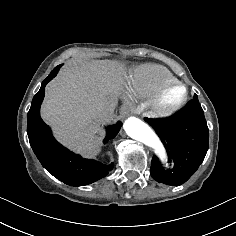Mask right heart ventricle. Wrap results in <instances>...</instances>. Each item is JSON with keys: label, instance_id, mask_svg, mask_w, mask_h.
I'll return each instance as SVG.
<instances>
[{"label": "right heart ventricle", "instance_id": "right-heart-ventricle-1", "mask_svg": "<svg viewBox=\"0 0 236 236\" xmlns=\"http://www.w3.org/2000/svg\"><path fill=\"white\" fill-rule=\"evenodd\" d=\"M139 81L127 91L129 98L152 99L165 84L177 81L166 68L158 65H146L137 69Z\"/></svg>", "mask_w": 236, "mask_h": 236}]
</instances>
